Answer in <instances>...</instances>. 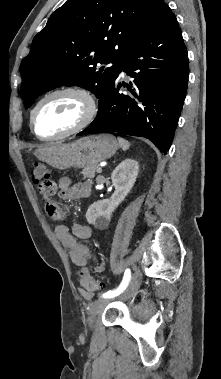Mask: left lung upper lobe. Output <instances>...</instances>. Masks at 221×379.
<instances>
[{"label":"left lung upper lobe","instance_id":"left-lung-upper-lobe-1","mask_svg":"<svg viewBox=\"0 0 221 379\" xmlns=\"http://www.w3.org/2000/svg\"><path fill=\"white\" fill-rule=\"evenodd\" d=\"M163 0H69L33 39L20 66L28 106L46 91L80 86L98 98L126 53L156 23ZM113 63L111 67L97 64Z\"/></svg>","mask_w":221,"mask_h":379}]
</instances>
